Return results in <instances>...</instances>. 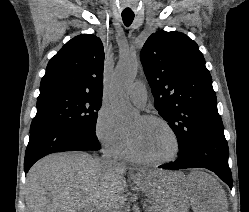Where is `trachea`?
<instances>
[{"label":"trachea","mask_w":249,"mask_h":212,"mask_svg":"<svg viewBox=\"0 0 249 212\" xmlns=\"http://www.w3.org/2000/svg\"><path fill=\"white\" fill-rule=\"evenodd\" d=\"M122 19L124 24L128 27L129 25H131V23L134 20V13L132 12H123L122 13Z\"/></svg>","instance_id":"obj_1"}]
</instances>
